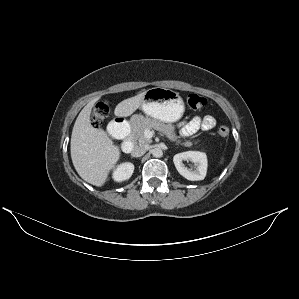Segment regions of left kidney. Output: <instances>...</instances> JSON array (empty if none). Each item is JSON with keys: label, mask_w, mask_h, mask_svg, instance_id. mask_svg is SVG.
<instances>
[{"label": "left kidney", "mask_w": 299, "mask_h": 299, "mask_svg": "<svg viewBox=\"0 0 299 299\" xmlns=\"http://www.w3.org/2000/svg\"><path fill=\"white\" fill-rule=\"evenodd\" d=\"M190 160L194 163L195 169L188 170L183 161ZM174 165L177 171L190 181L203 180L207 173V156L199 151H186L178 153L173 157Z\"/></svg>", "instance_id": "obj_1"}]
</instances>
